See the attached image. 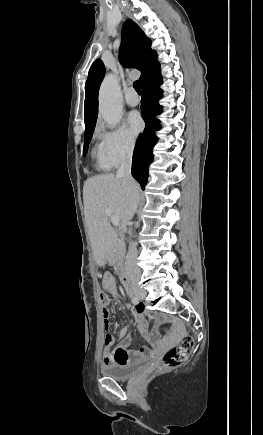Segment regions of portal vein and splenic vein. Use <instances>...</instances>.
Returning a JSON list of instances; mask_svg holds the SVG:
<instances>
[{"instance_id": "1", "label": "portal vein and splenic vein", "mask_w": 263, "mask_h": 435, "mask_svg": "<svg viewBox=\"0 0 263 435\" xmlns=\"http://www.w3.org/2000/svg\"><path fill=\"white\" fill-rule=\"evenodd\" d=\"M105 214H106L107 217L110 218V220H111V222H112V224L114 226H118L119 225L120 219H119V217L117 215L112 214L109 209L105 210Z\"/></svg>"}]
</instances>
